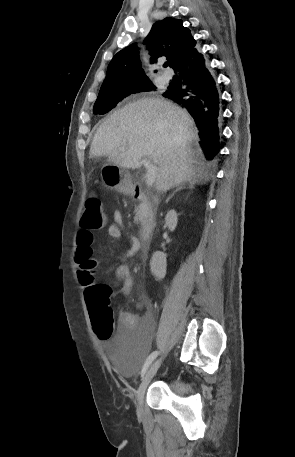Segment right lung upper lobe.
I'll return each instance as SVG.
<instances>
[{
  "instance_id": "1",
  "label": "right lung upper lobe",
  "mask_w": 295,
  "mask_h": 457,
  "mask_svg": "<svg viewBox=\"0 0 295 457\" xmlns=\"http://www.w3.org/2000/svg\"><path fill=\"white\" fill-rule=\"evenodd\" d=\"M182 24V20L168 17L152 26L144 40L151 54V63H155L158 57L166 55L169 66L173 68L182 56L195 47L196 41L191 36L190 30ZM136 47L137 44L134 43L114 56L108 66L100 92L149 80L141 68Z\"/></svg>"
}]
</instances>
